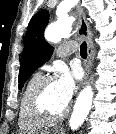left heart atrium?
<instances>
[{
  "label": "left heart atrium",
  "instance_id": "left-heart-atrium-1",
  "mask_svg": "<svg viewBox=\"0 0 116 134\" xmlns=\"http://www.w3.org/2000/svg\"><path fill=\"white\" fill-rule=\"evenodd\" d=\"M80 78L78 70L62 69L56 80L58 92L66 105L71 101L75 90L77 88V82Z\"/></svg>",
  "mask_w": 116,
  "mask_h": 134
}]
</instances>
